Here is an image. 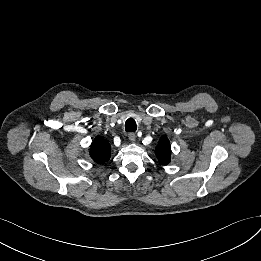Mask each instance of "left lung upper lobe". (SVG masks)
Here are the masks:
<instances>
[{
    "instance_id": "obj_1",
    "label": "left lung upper lobe",
    "mask_w": 261,
    "mask_h": 261,
    "mask_svg": "<svg viewBox=\"0 0 261 261\" xmlns=\"http://www.w3.org/2000/svg\"><path fill=\"white\" fill-rule=\"evenodd\" d=\"M159 163L166 165L170 162L171 148L167 136L161 137L155 150Z\"/></svg>"
}]
</instances>
